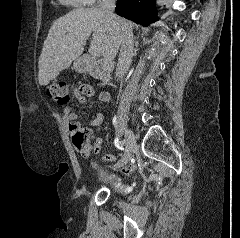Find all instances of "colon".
<instances>
[{
  "label": "colon",
  "instance_id": "obj_1",
  "mask_svg": "<svg viewBox=\"0 0 240 238\" xmlns=\"http://www.w3.org/2000/svg\"><path fill=\"white\" fill-rule=\"evenodd\" d=\"M48 95L60 104H64L71 92L70 87L65 83H51L46 87ZM70 130L73 133L74 145L84 151H89L88 139L91 135L88 130H81L75 123H71Z\"/></svg>",
  "mask_w": 240,
  "mask_h": 238
}]
</instances>
